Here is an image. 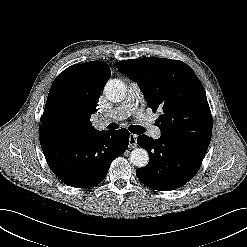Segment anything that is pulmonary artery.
Masks as SVG:
<instances>
[{"label":"pulmonary artery","mask_w":247,"mask_h":247,"mask_svg":"<svg viewBox=\"0 0 247 247\" xmlns=\"http://www.w3.org/2000/svg\"><path fill=\"white\" fill-rule=\"evenodd\" d=\"M130 115H133L137 121L143 124L154 139L161 137L160 129L152 124L151 118L144 112L143 93L136 83L129 85L124 101L102 116L99 123L104 124L109 121L123 120Z\"/></svg>","instance_id":"1"}]
</instances>
